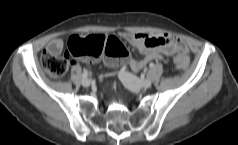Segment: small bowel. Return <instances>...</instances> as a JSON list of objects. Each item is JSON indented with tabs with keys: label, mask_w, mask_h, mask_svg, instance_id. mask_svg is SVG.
<instances>
[{
	"label": "small bowel",
	"mask_w": 238,
	"mask_h": 145,
	"mask_svg": "<svg viewBox=\"0 0 238 145\" xmlns=\"http://www.w3.org/2000/svg\"><path fill=\"white\" fill-rule=\"evenodd\" d=\"M121 36L139 50L143 54L140 60L130 58L128 55L127 64L130 65L134 72H139L151 61L163 60L165 56L172 55L175 52H180L184 55L187 53V48L184 42L175 36L164 35L152 36L144 33H121ZM62 49V41L54 39L47 45V50L54 54H59ZM84 60L88 63H94L97 59L90 58Z\"/></svg>",
	"instance_id": "small-bowel-1"
}]
</instances>
